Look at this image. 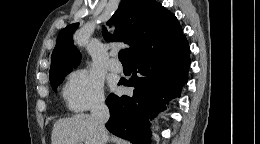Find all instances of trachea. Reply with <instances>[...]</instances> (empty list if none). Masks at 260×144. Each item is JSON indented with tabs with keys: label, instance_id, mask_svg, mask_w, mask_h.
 <instances>
[{
	"label": "trachea",
	"instance_id": "1",
	"mask_svg": "<svg viewBox=\"0 0 260 144\" xmlns=\"http://www.w3.org/2000/svg\"><path fill=\"white\" fill-rule=\"evenodd\" d=\"M119 60H120L121 63H129V59L127 57L125 50L119 51Z\"/></svg>",
	"mask_w": 260,
	"mask_h": 144
}]
</instances>
